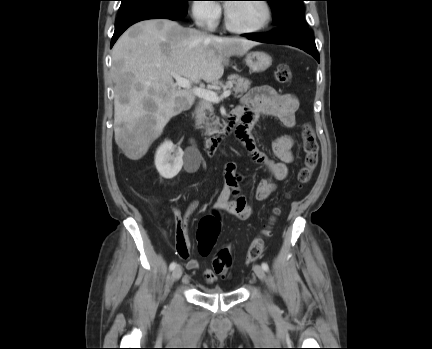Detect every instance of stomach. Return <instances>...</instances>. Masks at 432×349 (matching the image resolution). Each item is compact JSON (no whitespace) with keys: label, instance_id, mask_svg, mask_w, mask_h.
I'll return each mask as SVG.
<instances>
[{"label":"stomach","instance_id":"1","mask_svg":"<svg viewBox=\"0 0 432 349\" xmlns=\"http://www.w3.org/2000/svg\"><path fill=\"white\" fill-rule=\"evenodd\" d=\"M247 66L253 72H263L272 64V58L269 54L262 51L250 52L245 57Z\"/></svg>","mask_w":432,"mask_h":349}]
</instances>
